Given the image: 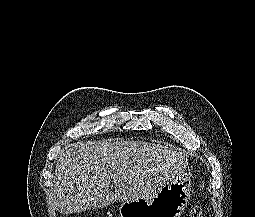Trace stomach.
<instances>
[{
	"instance_id": "obj_1",
	"label": "stomach",
	"mask_w": 255,
	"mask_h": 217,
	"mask_svg": "<svg viewBox=\"0 0 255 217\" xmlns=\"http://www.w3.org/2000/svg\"><path fill=\"white\" fill-rule=\"evenodd\" d=\"M191 175L183 172L155 194L123 202L120 217H181L191 195Z\"/></svg>"
}]
</instances>
